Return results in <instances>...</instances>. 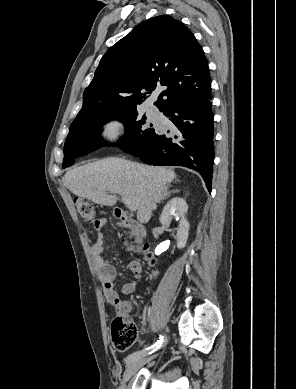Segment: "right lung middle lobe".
<instances>
[{
	"label": "right lung middle lobe",
	"mask_w": 296,
	"mask_h": 389,
	"mask_svg": "<svg viewBox=\"0 0 296 389\" xmlns=\"http://www.w3.org/2000/svg\"><path fill=\"white\" fill-rule=\"evenodd\" d=\"M119 120L125 125V137L119 142L127 153L143 150L156 130L146 117H138L136 107H117L93 110L81 115L72 122L64 144L63 167L74 163L75 158L86 155L101 146L99 130L111 120Z\"/></svg>",
	"instance_id": "right-lung-middle-lobe-1"
}]
</instances>
